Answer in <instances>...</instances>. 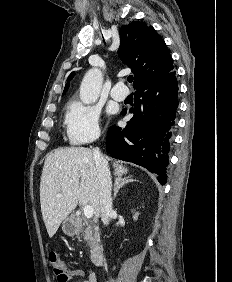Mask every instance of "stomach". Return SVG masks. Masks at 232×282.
I'll return each mask as SVG.
<instances>
[{"label":"stomach","instance_id":"1","mask_svg":"<svg viewBox=\"0 0 232 282\" xmlns=\"http://www.w3.org/2000/svg\"><path fill=\"white\" fill-rule=\"evenodd\" d=\"M80 230V224L74 216L66 217L62 222V231L68 236L76 235Z\"/></svg>","mask_w":232,"mask_h":282}]
</instances>
